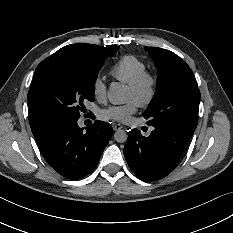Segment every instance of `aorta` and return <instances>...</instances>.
Returning a JSON list of instances; mask_svg holds the SVG:
<instances>
[{
  "label": "aorta",
  "mask_w": 233,
  "mask_h": 233,
  "mask_svg": "<svg viewBox=\"0 0 233 233\" xmlns=\"http://www.w3.org/2000/svg\"><path fill=\"white\" fill-rule=\"evenodd\" d=\"M107 97L109 101L114 105H123L129 102L130 96L127 90V86L122 85L119 82H112L107 91ZM127 133L125 130H118L114 133V139L123 143L127 140Z\"/></svg>",
  "instance_id": "aorta-1"
}]
</instances>
